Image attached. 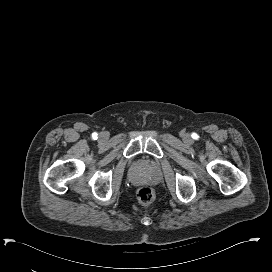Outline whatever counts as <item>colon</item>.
Instances as JSON below:
<instances>
[{
  "instance_id": "colon-1",
  "label": "colon",
  "mask_w": 272,
  "mask_h": 272,
  "mask_svg": "<svg viewBox=\"0 0 272 272\" xmlns=\"http://www.w3.org/2000/svg\"><path fill=\"white\" fill-rule=\"evenodd\" d=\"M155 199V192L151 187H141L136 191V200L141 205H149Z\"/></svg>"
}]
</instances>
